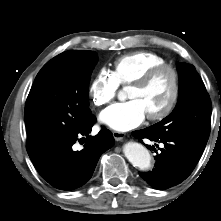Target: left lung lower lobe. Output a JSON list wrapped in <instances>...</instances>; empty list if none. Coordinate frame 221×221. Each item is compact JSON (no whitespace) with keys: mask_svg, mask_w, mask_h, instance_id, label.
I'll return each instance as SVG.
<instances>
[{"mask_svg":"<svg viewBox=\"0 0 221 221\" xmlns=\"http://www.w3.org/2000/svg\"><path fill=\"white\" fill-rule=\"evenodd\" d=\"M133 135L142 143V139L147 138L164 144L159 153L155 151V168L152 171L139 172L149 185L158 190L170 188L185 180L195 168L206 146V143L188 137L157 135L151 127L134 131ZM147 148L155 150L150 145Z\"/></svg>","mask_w":221,"mask_h":221,"instance_id":"0a47b994","label":"left lung lower lobe"}]
</instances>
